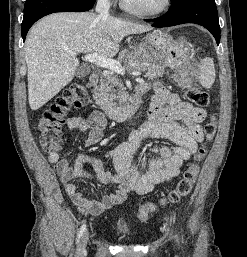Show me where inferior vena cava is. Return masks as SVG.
Here are the masks:
<instances>
[{
	"label": "inferior vena cava",
	"instance_id": "inferior-vena-cava-1",
	"mask_svg": "<svg viewBox=\"0 0 247 257\" xmlns=\"http://www.w3.org/2000/svg\"><path fill=\"white\" fill-rule=\"evenodd\" d=\"M110 9L109 0H97L95 11L102 16H108Z\"/></svg>",
	"mask_w": 247,
	"mask_h": 257
}]
</instances>
